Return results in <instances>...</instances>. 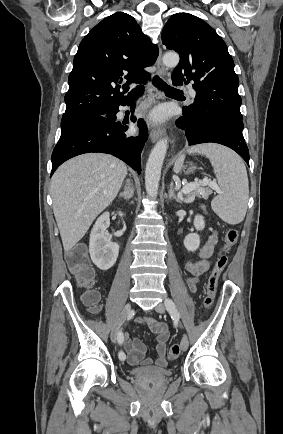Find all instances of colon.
I'll list each match as a JSON object with an SVG mask.
<instances>
[{"mask_svg":"<svg viewBox=\"0 0 283 434\" xmlns=\"http://www.w3.org/2000/svg\"><path fill=\"white\" fill-rule=\"evenodd\" d=\"M238 231L236 229H229L224 236V251L225 254L220 256L215 265L213 266L207 283V296L205 299V306L209 308L214 300L217 284L220 275L225 269L228 256L227 253L237 243ZM66 263L71 273L76 278L77 282L87 288V291L83 295V301L88 305L92 311L96 312L98 308V294L96 291L90 289L93 282V272L89 265L88 255L86 249L83 246H77L71 249L66 254ZM180 354L179 345H172L167 357L170 360L176 359Z\"/></svg>","mask_w":283,"mask_h":434,"instance_id":"colon-1","label":"colon"}]
</instances>
